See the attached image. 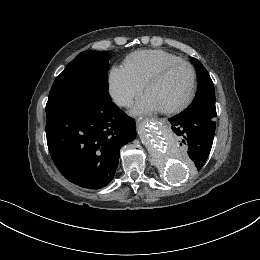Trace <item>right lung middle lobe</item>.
<instances>
[{
    "mask_svg": "<svg viewBox=\"0 0 260 260\" xmlns=\"http://www.w3.org/2000/svg\"><path fill=\"white\" fill-rule=\"evenodd\" d=\"M110 55L88 50L78 54L55 79L46 107L66 102H90L108 94Z\"/></svg>",
    "mask_w": 260,
    "mask_h": 260,
    "instance_id": "1",
    "label": "right lung middle lobe"
}]
</instances>
